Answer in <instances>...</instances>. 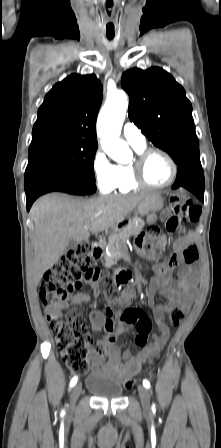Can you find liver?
I'll use <instances>...</instances> for the list:
<instances>
[{
	"label": "liver",
	"mask_w": 221,
	"mask_h": 448,
	"mask_svg": "<svg viewBox=\"0 0 221 448\" xmlns=\"http://www.w3.org/2000/svg\"><path fill=\"white\" fill-rule=\"evenodd\" d=\"M151 194L101 196L80 200L65 194L40 197L30 213L35 224L33 274L35 284L59 260L70 241H85L90 231L114 228Z\"/></svg>",
	"instance_id": "6515ba94"
}]
</instances>
